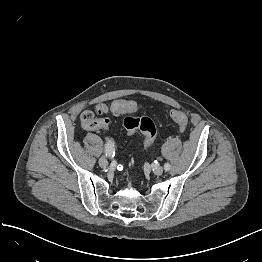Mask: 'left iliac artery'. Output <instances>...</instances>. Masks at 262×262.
Returning a JSON list of instances; mask_svg holds the SVG:
<instances>
[{"instance_id":"obj_1","label":"left iliac artery","mask_w":262,"mask_h":262,"mask_svg":"<svg viewBox=\"0 0 262 262\" xmlns=\"http://www.w3.org/2000/svg\"><path fill=\"white\" fill-rule=\"evenodd\" d=\"M164 169H165L166 171H169V170L171 169V165H170L169 163H165Z\"/></svg>"}]
</instances>
